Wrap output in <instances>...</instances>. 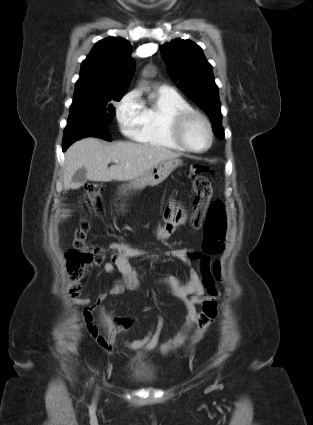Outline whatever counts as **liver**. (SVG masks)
<instances>
[{"mask_svg": "<svg viewBox=\"0 0 313 425\" xmlns=\"http://www.w3.org/2000/svg\"><path fill=\"white\" fill-rule=\"evenodd\" d=\"M179 156L160 146L133 142L108 145L93 137L84 138L73 143L65 153L63 187L67 191L81 186L72 182L73 175L80 168L86 170V177L90 181H127L143 175L161 161ZM114 159L119 163L108 168ZM67 216L61 215L62 218Z\"/></svg>", "mask_w": 313, "mask_h": 425, "instance_id": "liver-1", "label": "liver"}]
</instances>
